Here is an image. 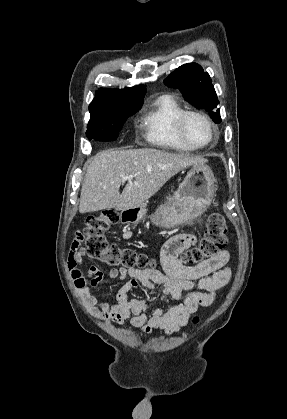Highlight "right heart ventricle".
<instances>
[{
    "label": "right heart ventricle",
    "instance_id": "right-heart-ventricle-1",
    "mask_svg": "<svg viewBox=\"0 0 287 419\" xmlns=\"http://www.w3.org/2000/svg\"><path fill=\"white\" fill-rule=\"evenodd\" d=\"M185 109L170 95L156 98L144 111L141 130L146 141L154 146L191 151L194 148L186 145L176 131V120Z\"/></svg>",
    "mask_w": 287,
    "mask_h": 419
}]
</instances>
